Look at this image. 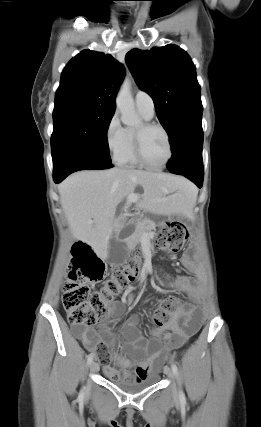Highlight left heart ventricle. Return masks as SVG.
I'll return each mask as SVG.
<instances>
[{
	"mask_svg": "<svg viewBox=\"0 0 261 427\" xmlns=\"http://www.w3.org/2000/svg\"><path fill=\"white\" fill-rule=\"evenodd\" d=\"M140 125L136 131H141ZM142 148L145 159L153 165L162 164L169 155L168 143L165 135L158 129L142 133Z\"/></svg>",
	"mask_w": 261,
	"mask_h": 427,
	"instance_id": "b2bd125f",
	"label": "left heart ventricle"
}]
</instances>
